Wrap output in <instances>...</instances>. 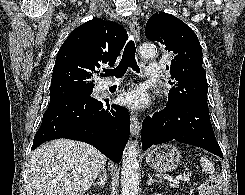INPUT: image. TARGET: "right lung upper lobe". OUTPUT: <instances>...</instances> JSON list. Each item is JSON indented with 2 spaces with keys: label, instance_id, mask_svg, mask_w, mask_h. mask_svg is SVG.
<instances>
[{
  "label": "right lung upper lobe",
  "instance_id": "cb5924a9",
  "mask_svg": "<svg viewBox=\"0 0 245 195\" xmlns=\"http://www.w3.org/2000/svg\"><path fill=\"white\" fill-rule=\"evenodd\" d=\"M127 38L122 26L103 19H92L74 29L58 52L50 94L93 88L96 70L103 63L115 64Z\"/></svg>",
  "mask_w": 245,
  "mask_h": 195
}]
</instances>
